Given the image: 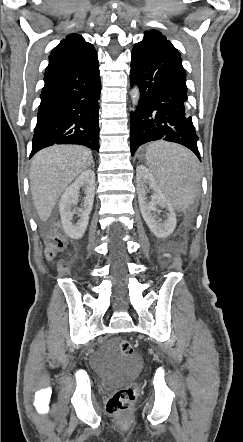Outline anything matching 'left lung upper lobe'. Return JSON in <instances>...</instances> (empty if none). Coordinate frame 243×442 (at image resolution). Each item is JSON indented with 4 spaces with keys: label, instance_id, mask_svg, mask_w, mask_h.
I'll list each match as a JSON object with an SVG mask.
<instances>
[{
    "label": "left lung upper lobe",
    "instance_id": "left-lung-upper-lobe-1",
    "mask_svg": "<svg viewBox=\"0 0 243 442\" xmlns=\"http://www.w3.org/2000/svg\"><path fill=\"white\" fill-rule=\"evenodd\" d=\"M147 34H157V35H160V36H162V37H164L160 32H158V31H156V30H151V31H147V32H145V35H147ZM165 38V37H164Z\"/></svg>",
    "mask_w": 243,
    "mask_h": 442
}]
</instances>
